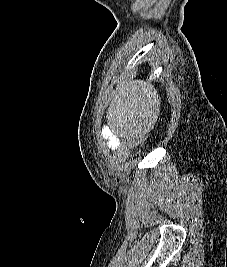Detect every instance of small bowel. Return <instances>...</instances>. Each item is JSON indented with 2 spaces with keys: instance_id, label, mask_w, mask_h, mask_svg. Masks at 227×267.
Returning <instances> with one entry per match:
<instances>
[{
  "instance_id": "obj_1",
  "label": "small bowel",
  "mask_w": 227,
  "mask_h": 267,
  "mask_svg": "<svg viewBox=\"0 0 227 267\" xmlns=\"http://www.w3.org/2000/svg\"><path fill=\"white\" fill-rule=\"evenodd\" d=\"M107 147L110 149H119L121 147L120 139L113 135H109L107 141Z\"/></svg>"
}]
</instances>
